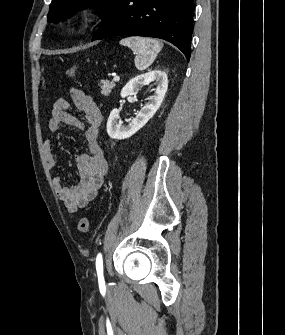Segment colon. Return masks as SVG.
<instances>
[{
	"instance_id": "5ec220e1",
	"label": "colon",
	"mask_w": 285,
	"mask_h": 335,
	"mask_svg": "<svg viewBox=\"0 0 285 335\" xmlns=\"http://www.w3.org/2000/svg\"><path fill=\"white\" fill-rule=\"evenodd\" d=\"M66 74L73 78L76 75V66L75 65H71L67 71ZM77 229L81 232V233H87L89 231V221L86 217L82 216L79 217L77 219Z\"/></svg>"
}]
</instances>
